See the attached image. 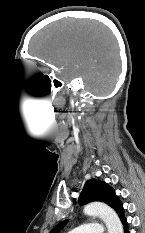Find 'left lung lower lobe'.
<instances>
[{
	"label": "left lung lower lobe",
	"instance_id": "0a47b994",
	"mask_svg": "<svg viewBox=\"0 0 145 233\" xmlns=\"http://www.w3.org/2000/svg\"><path fill=\"white\" fill-rule=\"evenodd\" d=\"M122 223H123V225H124V232H125V233H129L127 221L125 220V221H123Z\"/></svg>",
	"mask_w": 145,
	"mask_h": 233
}]
</instances>
